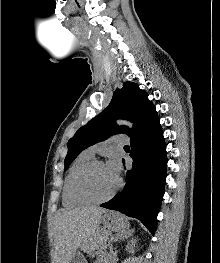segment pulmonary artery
<instances>
[{
    "label": "pulmonary artery",
    "instance_id": "obj_1",
    "mask_svg": "<svg viewBox=\"0 0 220 263\" xmlns=\"http://www.w3.org/2000/svg\"><path fill=\"white\" fill-rule=\"evenodd\" d=\"M111 143H115V144H119V145H125V144L129 143V138H128V136H126L124 134L114 135L104 142H100V143H97V144L89 147L86 150V152L93 156L97 151H99L100 149H102L103 147H106L107 145H109Z\"/></svg>",
    "mask_w": 220,
    "mask_h": 263
}]
</instances>
